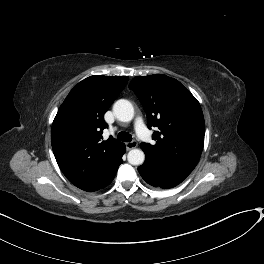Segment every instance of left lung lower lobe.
I'll use <instances>...</instances> for the list:
<instances>
[{"label":"left lung lower lobe","mask_w":264,"mask_h":264,"mask_svg":"<svg viewBox=\"0 0 264 264\" xmlns=\"http://www.w3.org/2000/svg\"><path fill=\"white\" fill-rule=\"evenodd\" d=\"M142 178L150 185L163 189L172 188L180 184L190 173L163 167L150 158L138 167Z\"/></svg>","instance_id":"1"}]
</instances>
